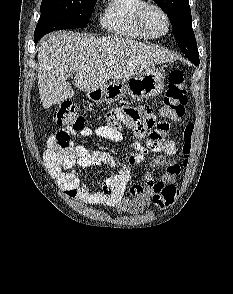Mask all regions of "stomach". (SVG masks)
<instances>
[{
    "label": "stomach",
    "mask_w": 233,
    "mask_h": 294,
    "mask_svg": "<svg viewBox=\"0 0 233 294\" xmlns=\"http://www.w3.org/2000/svg\"><path fill=\"white\" fill-rule=\"evenodd\" d=\"M165 75L157 68H148L127 79L114 80L87 95L96 102L112 104L127 95L133 99L155 97L164 89Z\"/></svg>",
    "instance_id": "obj_1"
}]
</instances>
